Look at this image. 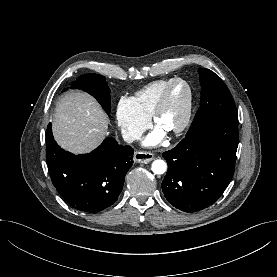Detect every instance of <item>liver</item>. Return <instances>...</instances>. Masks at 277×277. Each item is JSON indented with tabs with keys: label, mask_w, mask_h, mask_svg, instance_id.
Segmentation results:
<instances>
[{
	"label": "liver",
	"mask_w": 277,
	"mask_h": 277,
	"mask_svg": "<svg viewBox=\"0 0 277 277\" xmlns=\"http://www.w3.org/2000/svg\"><path fill=\"white\" fill-rule=\"evenodd\" d=\"M108 124V117L93 97L72 92L57 103L53 136L63 149L84 154L95 149L109 134Z\"/></svg>",
	"instance_id": "1"
}]
</instances>
